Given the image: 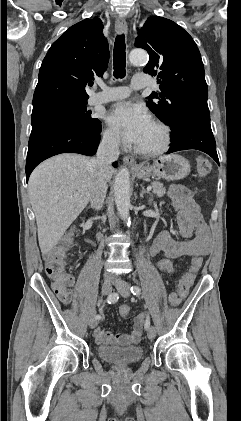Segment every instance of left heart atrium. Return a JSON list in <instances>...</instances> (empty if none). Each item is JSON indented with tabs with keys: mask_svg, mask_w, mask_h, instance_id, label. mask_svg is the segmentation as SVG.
Wrapping results in <instances>:
<instances>
[{
	"mask_svg": "<svg viewBox=\"0 0 241 421\" xmlns=\"http://www.w3.org/2000/svg\"><path fill=\"white\" fill-rule=\"evenodd\" d=\"M106 120L126 142L136 145L152 123L145 108L132 102L115 104L107 113Z\"/></svg>",
	"mask_w": 241,
	"mask_h": 421,
	"instance_id": "left-heart-atrium-1",
	"label": "left heart atrium"
}]
</instances>
